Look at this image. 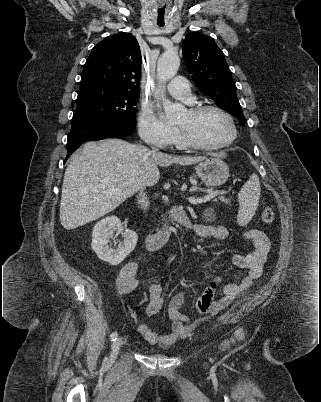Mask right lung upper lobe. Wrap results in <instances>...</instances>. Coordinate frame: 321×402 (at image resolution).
Segmentation results:
<instances>
[{
    "instance_id": "obj_1",
    "label": "right lung upper lobe",
    "mask_w": 321,
    "mask_h": 402,
    "mask_svg": "<svg viewBox=\"0 0 321 402\" xmlns=\"http://www.w3.org/2000/svg\"><path fill=\"white\" fill-rule=\"evenodd\" d=\"M141 52L130 33L106 37L91 51L80 87H103L139 94Z\"/></svg>"
}]
</instances>
